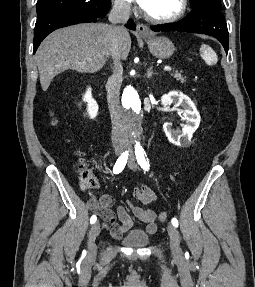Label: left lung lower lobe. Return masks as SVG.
Segmentation results:
<instances>
[{"label": "left lung lower lobe", "instance_id": "1", "mask_svg": "<svg viewBox=\"0 0 255 287\" xmlns=\"http://www.w3.org/2000/svg\"><path fill=\"white\" fill-rule=\"evenodd\" d=\"M151 29L160 31H183L200 33L218 39L228 52V29L225 18L220 10L208 6H198L183 20L164 25L152 26Z\"/></svg>", "mask_w": 255, "mask_h": 287}]
</instances>
